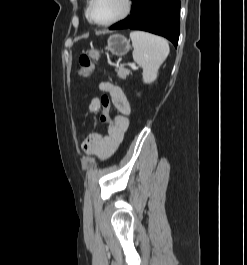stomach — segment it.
Listing matches in <instances>:
<instances>
[{"instance_id":"0dacf381","label":"stomach","mask_w":247,"mask_h":265,"mask_svg":"<svg viewBox=\"0 0 247 265\" xmlns=\"http://www.w3.org/2000/svg\"><path fill=\"white\" fill-rule=\"evenodd\" d=\"M131 49L129 40L123 35L115 34L108 38L106 50L110 51L113 55L121 57L126 55ZM89 57L93 60H98L100 52L96 49H91L88 53Z\"/></svg>"}]
</instances>
